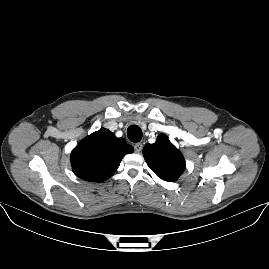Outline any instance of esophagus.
<instances>
[{
	"mask_svg": "<svg viewBox=\"0 0 269 269\" xmlns=\"http://www.w3.org/2000/svg\"><path fill=\"white\" fill-rule=\"evenodd\" d=\"M142 148H143V144H142V143H136V144L134 145V151H135L136 153H139V152L142 150Z\"/></svg>",
	"mask_w": 269,
	"mask_h": 269,
	"instance_id": "1",
	"label": "esophagus"
}]
</instances>
